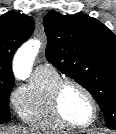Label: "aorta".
<instances>
[{"mask_svg": "<svg viewBox=\"0 0 116 134\" xmlns=\"http://www.w3.org/2000/svg\"><path fill=\"white\" fill-rule=\"evenodd\" d=\"M40 45L39 40L31 39L19 48L14 58V73L16 77L19 79L28 77Z\"/></svg>", "mask_w": 116, "mask_h": 134, "instance_id": "obj_1", "label": "aorta"}]
</instances>
